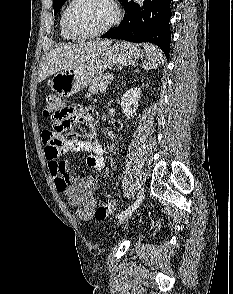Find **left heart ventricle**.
Masks as SVG:
<instances>
[{"label": "left heart ventricle", "instance_id": "obj_1", "mask_svg": "<svg viewBox=\"0 0 233 294\" xmlns=\"http://www.w3.org/2000/svg\"><path fill=\"white\" fill-rule=\"evenodd\" d=\"M112 16L103 0H79L70 10L68 24L78 34L95 32L104 27Z\"/></svg>", "mask_w": 233, "mask_h": 294}]
</instances>
